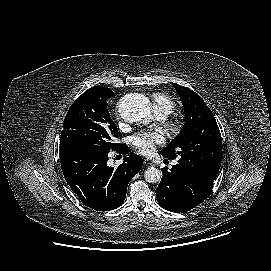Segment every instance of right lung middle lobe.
<instances>
[{
  "label": "right lung middle lobe",
  "mask_w": 271,
  "mask_h": 271,
  "mask_svg": "<svg viewBox=\"0 0 271 271\" xmlns=\"http://www.w3.org/2000/svg\"><path fill=\"white\" fill-rule=\"evenodd\" d=\"M107 87L96 86L85 91L67 112L60 137V146L73 145L104 151L117 149L118 129L110 117L107 100L114 96Z\"/></svg>",
  "instance_id": "obj_1"
}]
</instances>
